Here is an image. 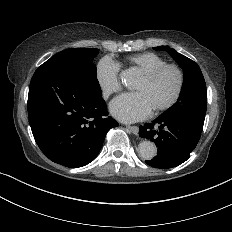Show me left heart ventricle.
Instances as JSON below:
<instances>
[{
	"label": "left heart ventricle",
	"instance_id": "obj_1",
	"mask_svg": "<svg viewBox=\"0 0 232 232\" xmlns=\"http://www.w3.org/2000/svg\"><path fill=\"white\" fill-rule=\"evenodd\" d=\"M177 86V73L173 69H166L151 82H146L141 77L134 90L144 92L157 110L172 98Z\"/></svg>",
	"mask_w": 232,
	"mask_h": 232
}]
</instances>
